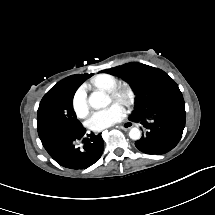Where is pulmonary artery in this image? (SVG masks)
<instances>
[{
	"label": "pulmonary artery",
	"instance_id": "pulmonary-artery-1",
	"mask_svg": "<svg viewBox=\"0 0 215 215\" xmlns=\"http://www.w3.org/2000/svg\"><path fill=\"white\" fill-rule=\"evenodd\" d=\"M96 83H97L98 87L105 89V88L109 87L111 80H110L109 76L102 74V75L98 76Z\"/></svg>",
	"mask_w": 215,
	"mask_h": 215
}]
</instances>
